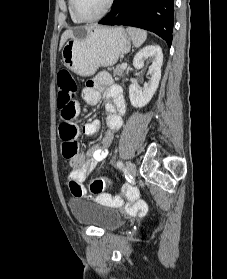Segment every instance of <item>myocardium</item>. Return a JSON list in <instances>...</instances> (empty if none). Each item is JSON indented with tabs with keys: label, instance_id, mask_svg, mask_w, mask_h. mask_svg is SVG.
<instances>
[{
	"label": "myocardium",
	"instance_id": "myocardium-1",
	"mask_svg": "<svg viewBox=\"0 0 227 279\" xmlns=\"http://www.w3.org/2000/svg\"><path fill=\"white\" fill-rule=\"evenodd\" d=\"M114 1H115V0H107L104 9H103L99 14H97L96 16L90 17V18L81 17V16L76 12V9H75V0H70V9H71V12H72L73 16H74L77 20H79L80 22H94V21L100 20L101 18L105 17V16L110 12V10H111L112 7H113Z\"/></svg>",
	"mask_w": 227,
	"mask_h": 279
}]
</instances>
